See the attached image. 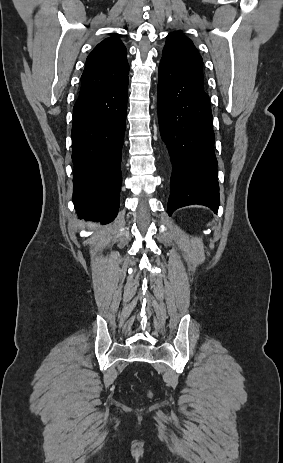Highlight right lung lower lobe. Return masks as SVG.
Segmentation results:
<instances>
[{
    "label": "right lung lower lobe",
    "mask_w": 283,
    "mask_h": 463,
    "mask_svg": "<svg viewBox=\"0 0 283 463\" xmlns=\"http://www.w3.org/2000/svg\"><path fill=\"white\" fill-rule=\"evenodd\" d=\"M128 76L79 95L73 108V203L81 217L111 222L119 209Z\"/></svg>",
    "instance_id": "obj_1"
}]
</instances>
